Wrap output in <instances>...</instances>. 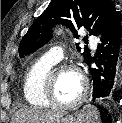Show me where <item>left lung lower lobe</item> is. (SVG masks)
Here are the masks:
<instances>
[{"label": "left lung lower lobe", "instance_id": "left-lung-lower-lobe-1", "mask_svg": "<svg viewBox=\"0 0 122 123\" xmlns=\"http://www.w3.org/2000/svg\"><path fill=\"white\" fill-rule=\"evenodd\" d=\"M101 43L97 48V59L90 58L98 66L91 69L93 89L91 100L113 99L122 81V27L120 20L114 15L99 35Z\"/></svg>", "mask_w": 122, "mask_h": 123}]
</instances>
